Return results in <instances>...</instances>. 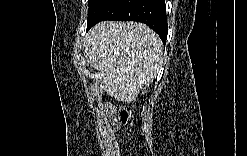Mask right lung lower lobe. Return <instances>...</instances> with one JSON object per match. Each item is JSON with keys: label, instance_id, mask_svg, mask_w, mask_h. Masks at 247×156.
<instances>
[{"label": "right lung lower lobe", "instance_id": "right-lung-lower-lobe-1", "mask_svg": "<svg viewBox=\"0 0 247 156\" xmlns=\"http://www.w3.org/2000/svg\"><path fill=\"white\" fill-rule=\"evenodd\" d=\"M104 20L145 23L166 43L168 25L164 0H110L87 30Z\"/></svg>", "mask_w": 247, "mask_h": 156}]
</instances>
